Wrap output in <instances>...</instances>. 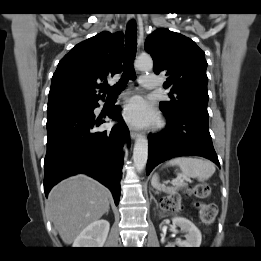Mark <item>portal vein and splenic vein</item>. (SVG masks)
Returning a JSON list of instances; mask_svg holds the SVG:
<instances>
[{"label":"portal vein and splenic vein","instance_id":"1","mask_svg":"<svg viewBox=\"0 0 261 261\" xmlns=\"http://www.w3.org/2000/svg\"><path fill=\"white\" fill-rule=\"evenodd\" d=\"M186 180H189V179H186ZM183 183V180H174L173 181V184L176 185V184H182Z\"/></svg>","mask_w":261,"mask_h":261}]
</instances>
